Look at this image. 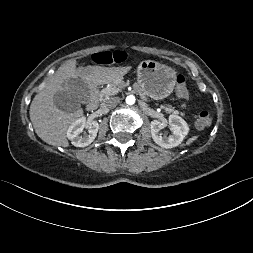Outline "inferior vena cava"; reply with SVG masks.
I'll return each instance as SVG.
<instances>
[{"instance_id": "inferior-vena-cava-1", "label": "inferior vena cava", "mask_w": 253, "mask_h": 253, "mask_svg": "<svg viewBox=\"0 0 253 253\" xmlns=\"http://www.w3.org/2000/svg\"><path fill=\"white\" fill-rule=\"evenodd\" d=\"M119 102H120V98L118 97L110 98V99L105 100L101 104V107L105 109H111V108H114Z\"/></svg>"}]
</instances>
